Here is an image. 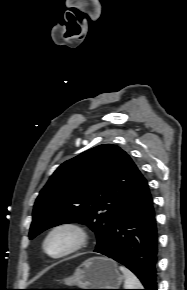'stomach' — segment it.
Wrapping results in <instances>:
<instances>
[{"mask_svg":"<svg viewBox=\"0 0 187 290\" xmlns=\"http://www.w3.org/2000/svg\"><path fill=\"white\" fill-rule=\"evenodd\" d=\"M123 276L117 264L107 257H91L84 261L74 274L64 280L66 285L79 289H119Z\"/></svg>","mask_w":187,"mask_h":290,"instance_id":"stomach-1","label":"stomach"}]
</instances>
